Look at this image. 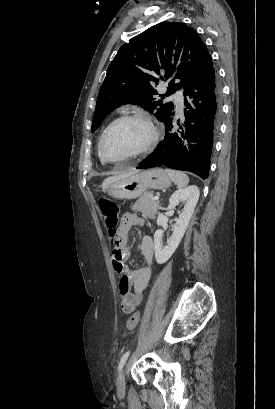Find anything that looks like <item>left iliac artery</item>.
Returning a JSON list of instances; mask_svg holds the SVG:
<instances>
[{"mask_svg":"<svg viewBox=\"0 0 275 409\" xmlns=\"http://www.w3.org/2000/svg\"><path fill=\"white\" fill-rule=\"evenodd\" d=\"M129 355H130V351H127V352H125V353L123 354V356L121 357V360H120V362H119V367H118V371H119V372L122 370L123 366L125 365V363H126L128 357H129Z\"/></svg>","mask_w":275,"mask_h":409,"instance_id":"obj_1","label":"left iliac artery"}]
</instances>
